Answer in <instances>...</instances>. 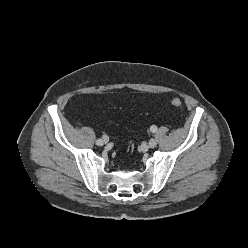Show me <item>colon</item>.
I'll use <instances>...</instances> for the list:
<instances>
[{
	"label": "colon",
	"instance_id": "colon-1",
	"mask_svg": "<svg viewBox=\"0 0 248 248\" xmlns=\"http://www.w3.org/2000/svg\"><path fill=\"white\" fill-rule=\"evenodd\" d=\"M170 103L172 106L176 108H181L182 107V101L179 98H172L170 100Z\"/></svg>",
	"mask_w": 248,
	"mask_h": 248
}]
</instances>
